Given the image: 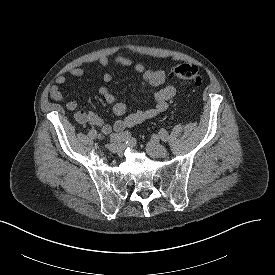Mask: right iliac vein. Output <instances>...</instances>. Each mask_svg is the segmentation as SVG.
Masks as SVG:
<instances>
[{
	"mask_svg": "<svg viewBox=\"0 0 275 275\" xmlns=\"http://www.w3.org/2000/svg\"><path fill=\"white\" fill-rule=\"evenodd\" d=\"M107 148H108L111 152L115 153V152H118V151H119L120 145L117 144V143H110V144L107 145Z\"/></svg>",
	"mask_w": 275,
	"mask_h": 275,
	"instance_id": "obj_1",
	"label": "right iliac vein"
}]
</instances>
